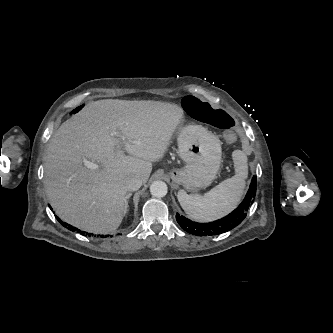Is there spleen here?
I'll return each mask as SVG.
<instances>
[{
    "mask_svg": "<svg viewBox=\"0 0 333 333\" xmlns=\"http://www.w3.org/2000/svg\"><path fill=\"white\" fill-rule=\"evenodd\" d=\"M235 175L221 182L204 195H189L184 190L177 198L185 213L200 222H209L230 213L239 203L248 176L247 156L243 151L232 153Z\"/></svg>",
    "mask_w": 333,
    "mask_h": 333,
    "instance_id": "spleen-1",
    "label": "spleen"
}]
</instances>
